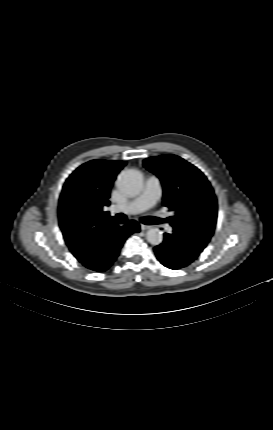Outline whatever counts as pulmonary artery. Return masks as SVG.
Segmentation results:
<instances>
[{
    "instance_id": "e3ab8cb5",
    "label": "pulmonary artery",
    "mask_w": 273,
    "mask_h": 430,
    "mask_svg": "<svg viewBox=\"0 0 273 430\" xmlns=\"http://www.w3.org/2000/svg\"><path fill=\"white\" fill-rule=\"evenodd\" d=\"M160 197V181L157 177L150 176L147 178L145 188L140 196L128 203L115 206L113 210L127 214H137L154 206ZM165 229L168 232L172 231V228L169 225H165Z\"/></svg>"
}]
</instances>
